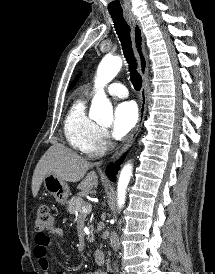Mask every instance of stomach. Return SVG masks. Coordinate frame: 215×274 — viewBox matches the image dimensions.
Listing matches in <instances>:
<instances>
[{"label": "stomach", "mask_w": 215, "mask_h": 274, "mask_svg": "<svg viewBox=\"0 0 215 274\" xmlns=\"http://www.w3.org/2000/svg\"><path fill=\"white\" fill-rule=\"evenodd\" d=\"M45 190L60 204H64L69 196L68 184L53 174H47L43 179Z\"/></svg>", "instance_id": "stomach-1"}]
</instances>
